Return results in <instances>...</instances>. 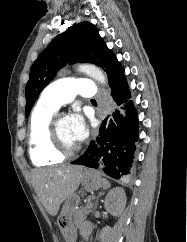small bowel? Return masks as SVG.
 I'll list each match as a JSON object with an SVG mask.
<instances>
[{"instance_id": "small-bowel-1", "label": "small bowel", "mask_w": 187, "mask_h": 242, "mask_svg": "<svg viewBox=\"0 0 187 242\" xmlns=\"http://www.w3.org/2000/svg\"><path fill=\"white\" fill-rule=\"evenodd\" d=\"M92 230L91 224L88 222H84L80 225V233L83 237H87L90 235Z\"/></svg>"}]
</instances>
